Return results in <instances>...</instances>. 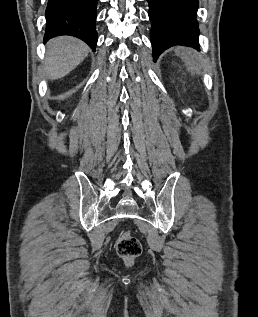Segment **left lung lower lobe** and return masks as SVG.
Wrapping results in <instances>:
<instances>
[{
    "mask_svg": "<svg viewBox=\"0 0 258 317\" xmlns=\"http://www.w3.org/2000/svg\"><path fill=\"white\" fill-rule=\"evenodd\" d=\"M152 24L150 36L154 61L166 49L187 46L199 50V0H147Z\"/></svg>",
    "mask_w": 258,
    "mask_h": 317,
    "instance_id": "obj_1",
    "label": "left lung lower lobe"
}]
</instances>
